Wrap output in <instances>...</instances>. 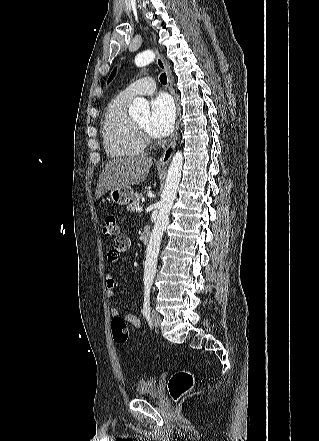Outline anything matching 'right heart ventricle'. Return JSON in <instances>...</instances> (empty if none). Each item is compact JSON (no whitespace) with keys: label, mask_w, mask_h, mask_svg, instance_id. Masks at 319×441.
I'll return each mask as SVG.
<instances>
[{"label":"right heart ventricle","mask_w":319,"mask_h":441,"mask_svg":"<svg viewBox=\"0 0 319 441\" xmlns=\"http://www.w3.org/2000/svg\"><path fill=\"white\" fill-rule=\"evenodd\" d=\"M130 99L116 96L108 105L102 125V136L110 157H134L143 153L145 145L129 117L127 108Z\"/></svg>","instance_id":"obj_1"}]
</instances>
